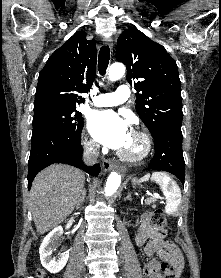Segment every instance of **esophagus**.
I'll return each instance as SVG.
<instances>
[{
    "instance_id": "34e87169",
    "label": "esophagus",
    "mask_w": 221,
    "mask_h": 278,
    "mask_svg": "<svg viewBox=\"0 0 221 278\" xmlns=\"http://www.w3.org/2000/svg\"><path fill=\"white\" fill-rule=\"evenodd\" d=\"M103 41H104V44H106V45H110V46L113 45L112 39L109 37H105ZM102 166H103L104 171H106V172L117 168V164L115 162L106 160V159H104L102 161Z\"/></svg>"
}]
</instances>
